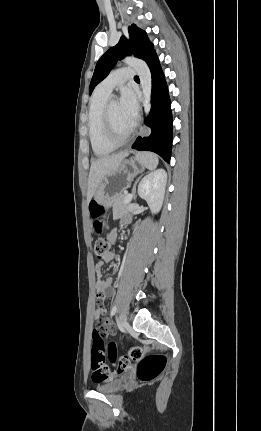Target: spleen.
<instances>
[{
    "label": "spleen",
    "mask_w": 261,
    "mask_h": 431,
    "mask_svg": "<svg viewBox=\"0 0 261 431\" xmlns=\"http://www.w3.org/2000/svg\"><path fill=\"white\" fill-rule=\"evenodd\" d=\"M141 162L150 170H154L158 165V157L152 153H139Z\"/></svg>",
    "instance_id": "3e777b00"
}]
</instances>
